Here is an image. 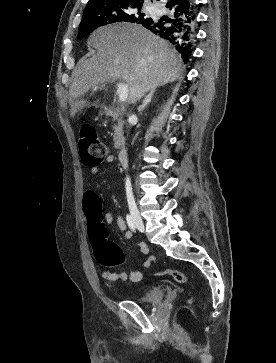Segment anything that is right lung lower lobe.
Returning <instances> with one entry per match:
<instances>
[{
  "instance_id": "right-lung-lower-lobe-1",
  "label": "right lung lower lobe",
  "mask_w": 276,
  "mask_h": 363,
  "mask_svg": "<svg viewBox=\"0 0 276 363\" xmlns=\"http://www.w3.org/2000/svg\"><path fill=\"white\" fill-rule=\"evenodd\" d=\"M171 11L170 17H161L155 22H143V26L154 34L168 40L187 61L192 54L196 30L195 0H168L165 5Z\"/></svg>"
}]
</instances>
